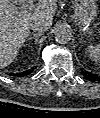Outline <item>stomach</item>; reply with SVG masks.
<instances>
[{
  "mask_svg": "<svg viewBox=\"0 0 100 118\" xmlns=\"http://www.w3.org/2000/svg\"><path fill=\"white\" fill-rule=\"evenodd\" d=\"M72 3L74 8L73 22L83 28L82 32L90 34V26L98 14L96 0H72Z\"/></svg>",
  "mask_w": 100,
  "mask_h": 118,
  "instance_id": "obj_1",
  "label": "stomach"
}]
</instances>
